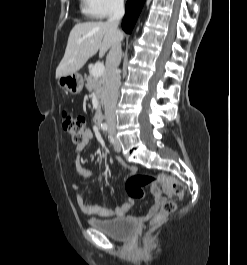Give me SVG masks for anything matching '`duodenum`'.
<instances>
[{
	"label": "duodenum",
	"instance_id": "1",
	"mask_svg": "<svg viewBox=\"0 0 247 265\" xmlns=\"http://www.w3.org/2000/svg\"><path fill=\"white\" fill-rule=\"evenodd\" d=\"M95 124L98 128L101 127V125L103 124V117L102 115H97L96 120H95Z\"/></svg>",
	"mask_w": 247,
	"mask_h": 265
}]
</instances>
